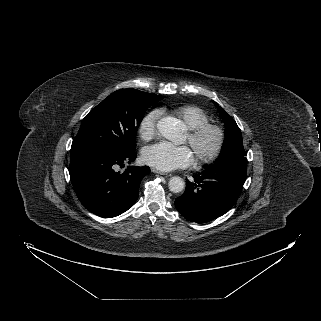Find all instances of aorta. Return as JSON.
Wrapping results in <instances>:
<instances>
[{
  "label": "aorta",
  "instance_id": "1",
  "mask_svg": "<svg viewBox=\"0 0 321 321\" xmlns=\"http://www.w3.org/2000/svg\"><path fill=\"white\" fill-rule=\"evenodd\" d=\"M158 132L167 140L177 143L183 135L182 124L173 117H164L157 124ZM169 190L173 193H180L185 188L184 180L179 176H174L169 180Z\"/></svg>",
  "mask_w": 321,
  "mask_h": 321
}]
</instances>
